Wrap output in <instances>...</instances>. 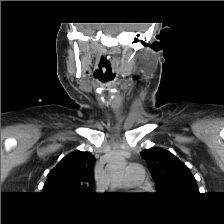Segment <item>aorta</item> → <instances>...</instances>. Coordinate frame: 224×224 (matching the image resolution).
<instances>
[{
	"label": "aorta",
	"instance_id": "762f6f07",
	"mask_svg": "<svg viewBox=\"0 0 224 224\" xmlns=\"http://www.w3.org/2000/svg\"><path fill=\"white\" fill-rule=\"evenodd\" d=\"M126 167V160L121 155H116L112 157L107 164V174L111 183H117L120 181L124 175Z\"/></svg>",
	"mask_w": 224,
	"mask_h": 224
}]
</instances>
